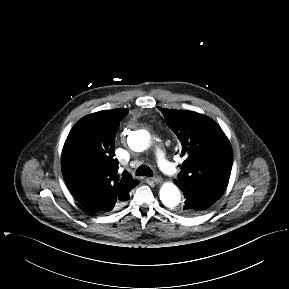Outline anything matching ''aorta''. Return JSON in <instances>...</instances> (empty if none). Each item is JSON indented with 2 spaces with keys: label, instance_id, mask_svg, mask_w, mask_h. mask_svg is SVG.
<instances>
[{
  "label": "aorta",
  "instance_id": "1",
  "mask_svg": "<svg viewBox=\"0 0 289 289\" xmlns=\"http://www.w3.org/2000/svg\"><path fill=\"white\" fill-rule=\"evenodd\" d=\"M149 133L146 131L134 132L128 137L129 147L136 152H142L149 146ZM160 200L168 208H175L181 200L178 187L173 183H165L160 189Z\"/></svg>",
  "mask_w": 289,
  "mask_h": 289
}]
</instances>
